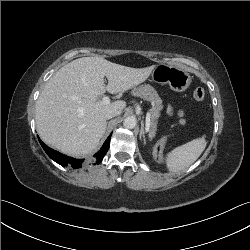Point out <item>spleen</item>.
<instances>
[{"label":"spleen","mask_w":250,"mask_h":250,"mask_svg":"<svg viewBox=\"0 0 250 250\" xmlns=\"http://www.w3.org/2000/svg\"><path fill=\"white\" fill-rule=\"evenodd\" d=\"M206 145L204 138H196L174 148L166 157L168 170L176 173L188 168L200 157Z\"/></svg>","instance_id":"1"}]
</instances>
